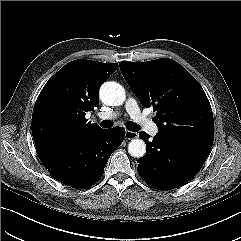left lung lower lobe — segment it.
Masks as SVG:
<instances>
[{
  "label": "left lung lower lobe",
  "mask_w": 241,
  "mask_h": 241,
  "mask_svg": "<svg viewBox=\"0 0 241 241\" xmlns=\"http://www.w3.org/2000/svg\"><path fill=\"white\" fill-rule=\"evenodd\" d=\"M146 154L138 159V172L149 186L158 190L178 188L195 176L208 157L211 146L168 137L158 133L152 141L140 132Z\"/></svg>",
  "instance_id": "0a47b994"
}]
</instances>
